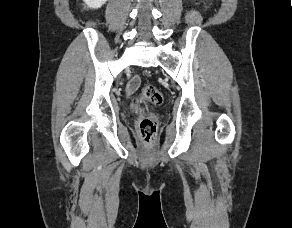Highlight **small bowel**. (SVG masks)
I'll return each mask as SVG.
<instances>
[{"instance_id":"small-bowel-1","label":"small bowel","mask_w":292,"mask_h":228,"mask_svg":"<svg viewBox=\"0 0 292 228\" xmlns=\"http://www.w3.org/2000/svg\"><path fill=\"white\" fill-rule=\"evenodd\" d=\"M141 82V78L139 75H135L128 83L127 87H126V92L127 94H132L133 92H135Z\"/></svg>"}]
</instances>
